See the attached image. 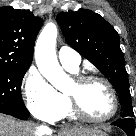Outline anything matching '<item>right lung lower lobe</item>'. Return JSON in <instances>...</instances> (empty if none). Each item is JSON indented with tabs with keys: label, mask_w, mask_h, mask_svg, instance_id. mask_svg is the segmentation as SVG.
I'll use <instances>...</instances> for the list:
<instances>
[{
	"label": "right lung lower lobe",
	"mask_w": 136,
	"mask_h": 136,
	"mask_svg": "<svg viewBox=\"0 0 136 136\" xmlns=\"http://www.w3.org/2000/svg\"><path fill=\"white\" fill-rule=\"evenodd\" d=\"M2 113L7 114V115H12L21 120H26L28 118V114H21V113H16V112H2Z\"/></svg>",
	"instance_id": "obj_1"
}]
</instances>
